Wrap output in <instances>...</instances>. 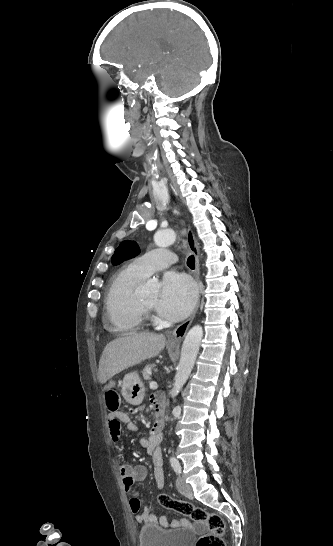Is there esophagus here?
Masks as SVG:
<instances>
[{
  "label": "esophagus",
  "mask_w": 333,
  "mask_h": 546,
  "mask_svg": "<svg viewBox=\"0 0 333 546\" xmlns=\"http://www.w3.org/2000/svg\"><path fill=\"white\" fill-rule=\"evenodd\" d=\"M186 240H187L188 247H189L190 251L192 252V254L194 255V258H195L194 276H195V279L198 282L199 278H200L199 250H198V245H197L194 233L191 230V228L187 229ZM198 307H199V302L197 303V305H196L193 313L191 314V316L187 320H185L182 324H180L172 332V334L170 335V337L168 339L170 344H180V342L184 338L187 330L189 329V327H190V325H191V323H192V321H193V319H194V317H195V315L197 313Z\"/></svg>",
  "instance_id": "esophagus-1"
}]
</instances>
